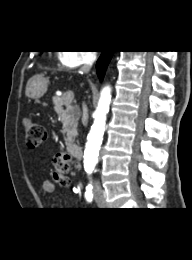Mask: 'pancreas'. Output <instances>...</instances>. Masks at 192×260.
<instances>
[{
    "mask_svg": "<svg viewBox=\"0 0 192 260\" xmlns=\"http://www.w3.org/2000/svg\"><path fill=\"white\" fill-rule=\"evenodd\" d=\"M53 103L54 110L63 124L62 132L65 135V143L69 145L77 135V125L80 117L79 108L67 103L63 96H55Z\"/></svg>",
    "mask_w": 192,
    "mask_h": 260,
    "instance_id": "obj_1",
    "label": "pancreas"
}]
</instances>
